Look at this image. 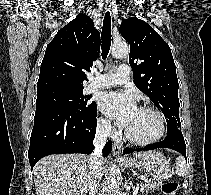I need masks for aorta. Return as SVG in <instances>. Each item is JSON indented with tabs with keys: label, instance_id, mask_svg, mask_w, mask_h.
<instances>
[{
	"label": "aorta",
	"instance_id": "obj_1",
	"mask_svg": "<svg viewBox=\"0 0 211 195\" xmlns=\"http://www.w3.org/2000/svg\"><path fill=\"white\" fill-rule=\"evenodd\" d=\"M130 52V47L125 42L114 43L111 48V54L114 58L121 59L127 57ZM120 173L119 167L114 163L109 168L108 174V194L118 195L119 193Z\"/></svg>",
	"mask_w": 211,
	"mask_h": 195
}]
</instances>
